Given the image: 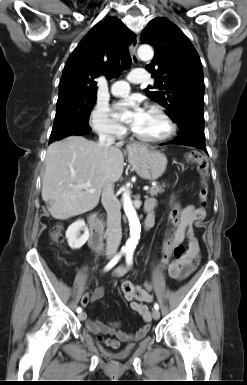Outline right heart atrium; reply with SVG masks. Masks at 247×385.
Returning a JSON list of instances; mask_svg holds the SVG:
<instances>
[{
	"mask_svg": "<svg viewBox=\"0 0 247 385\" xmlns=\"http://www.w3.org/2000/svg\"><path fill=\"white\" fill-rule=\"evenodd\" d=\"M90 125L102 136L119 138L125 134V128L110 115L107 106L103 104H96L91 111Z\"/></svg>",
	"mask_w": 247,
	"mask_h": 385,
	"instance_id": "d8ad5b80",
	"label": "right heart atrium"
}]
</instances>
